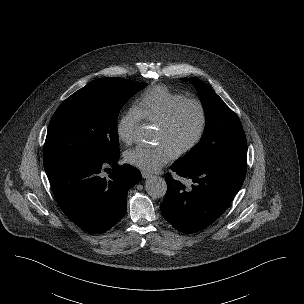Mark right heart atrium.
Listing matches in <instances>:
<instances>
[{"instance_id":"1","label":"right heart atrium","mask_w":304,"mask_h":304,"mask_svg":"<svg viewBox=\"0 0 304 304\" xmlns=\"http://www.w3.org/2000/svg\"><path fill=\"white\" fill-rule=\"evenodd\" d=\"M140 113L134 108L128 109L118 120L116 131L119 139L129 145L134 140L135 132L141 122Z\"/></svg>"}]
</instances>
